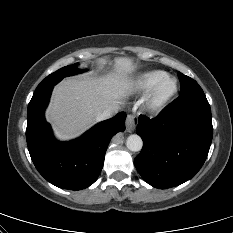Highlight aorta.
Here are the masks:
<instances>
[{"label":"aorta","instance_id":"aorta-1","mask_svg":"<svg viewBox=\"0 0 233 233\" xmlns=\"http://www.w3.org/2000/svg\"><path fill=\"white\" fill-rule=\"evenodd\" d=\"M142 139L139 135L132 134L126 140V146L130 151L138 152L142 149Z\"/></svg>","mask_w":233,"mask_h":233}]
</instances>
